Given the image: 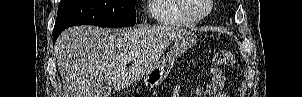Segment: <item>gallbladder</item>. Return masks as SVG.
I'll return each instance as SVG.
<instances>
[{"mask_svg": "<svg viewBox=\"0 0 302 97\" xmlns=\"http://www.w3.org/2000/svg\"><path fill=\"white\" fill-rule=\"evenodd\" d=\"M110 94H111V87L110 86H104L102 91H101L100 97H108Z\"/></svg>", "mask_w": 302, "mask_h": 97, "instance_id": "1", "label": "gallbladder"}]
</instances>
